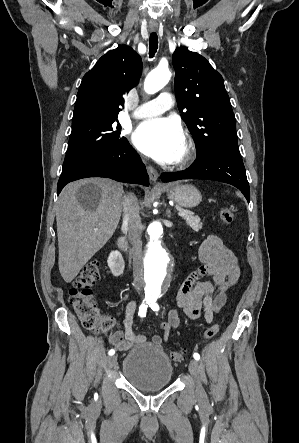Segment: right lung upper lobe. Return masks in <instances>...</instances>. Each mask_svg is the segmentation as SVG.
<instances>
[{
	"mask_svg": "<svg viewBox=\"0 0 299 443\" xmlns=\"http://www.w3.org/2000/svg\"><path fill=\"white\" fill-rule=\"evenodd\" d=\"M140 56L129 46L107 52L82 79L72 123L88 118L117 117L124 105L123 94L139 81Z\"/></svg>",
	"mask_w": 299,
	"mask_h": 443,
	"instance_id": "1",
	"label": "right lung upper lobe"
}]
</instances>
